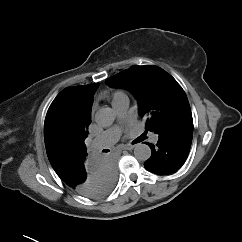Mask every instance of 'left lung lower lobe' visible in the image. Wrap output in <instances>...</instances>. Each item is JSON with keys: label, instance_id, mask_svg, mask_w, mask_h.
<instances>
[{"label": "left lung lower lobe", "instance_id": "obj_1", "mask_svg": "<svg viewBox=\"0 0 242 242\" xmlns=\"http://www.w3.org/2000/svg\"><path fill=\"white\" fill-rule=\"evenodd\" d=\"M159 140L152 148L151 157L144 163L150 172L168 175L177 171L185 162L192 143V115L175 121L157 132Z\"/></svg>", "mask_w": 242, "mask_h": 242}]
</instances>
